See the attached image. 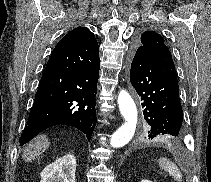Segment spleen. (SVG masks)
Segmentation results:
<instances>
[{"mask_svg":"<svg viewBox=\"0 0 211 182\" xmlns=\"http://www.w3.org/2000/svg\"><path fill=\"white\" fill-rule=\"evenodd\" d=\"M158 162L160 167L167 171L170 176H172L178 182L182 181V173L180 172L179 168L175 163H173L167 158H160Z\"/></svg>","mask_w":211,"mask_h":182,"instance_id":"spleen-1","label":"spleen"}]
</instances>
